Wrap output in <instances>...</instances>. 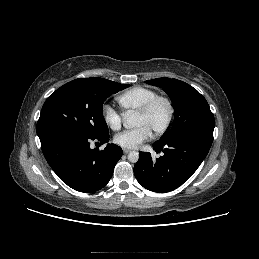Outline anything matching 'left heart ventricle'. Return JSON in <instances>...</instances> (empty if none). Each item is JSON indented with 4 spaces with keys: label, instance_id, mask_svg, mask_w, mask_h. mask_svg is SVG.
<instances>
[{
    "label": "left heart ventricle",
    "instance_id": "b2bd125f",
    "mask_svg": "<svg viewBox=\"0 0 259 259\" xmlns=\"http://www.w3.org/2000/svg\"><path fill=\"white\" fill-rule=\"evenodd\" d=\"M167 117V106L163 102H160L153 108V110L148 115L137 114L135 118V126H146L152 132H155L164 125Z\"/></svg>",
    "mask_w": 259,
    "mask_h": 259
}]
</instances>
